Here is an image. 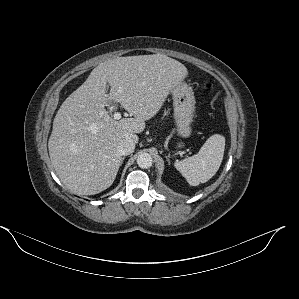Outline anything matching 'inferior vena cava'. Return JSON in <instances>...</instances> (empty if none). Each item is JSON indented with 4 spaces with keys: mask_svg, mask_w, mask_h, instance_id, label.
I'll return each instance as SVG.
<instances>
[{
    "mask_svg": "<svg viewBox=\"0 0 299 299\" xmlns=\"http://www.w3.org/2000/svg\"><path fill=\"white\" fill-rule=\"evenodd\" d=\"M135 149V143L132 139H123L119 142L118 152L121 155H129L133 153Z\"/></svg>",
    "mask_w": 299,
    "mask_h": 299,
    "instance_id": "1",
    "label": "inferior vena cava"
}]
</instances>
